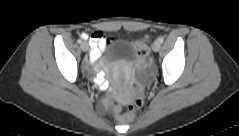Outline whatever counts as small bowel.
I'll return each mask as SVG.
<instances>
[{"label": "small bowel", "mask_w": 239, "mask_h": 136, "mask_svg": "<svg viewBox=\"0 0 239 136\" xmlns=\"http://www.w3.org/2000/svg\"><path fill=\"white\" fill-rule=\"evenodd\" d=\"M82 37L86 40H89L92 47V51L90 54V62L95 63L99 59L100 54L104 52L106 49L105 36L101 32H95L91 36L87 34H82ZM100 69H101L100 65H97L96 71L98 73H100ZM108 105L109 107L113 108V105L111 102H108Z\"/></svg>", "instance_id": "small-bowel-1"}]
</instances>
